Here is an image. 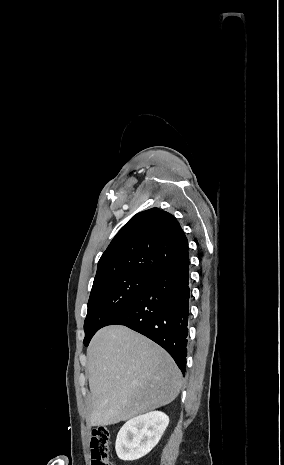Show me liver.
<instances>
[{
    "mask_svg": "<svg viewBox=\"0 0 284 465\" xmlns=\"http://www.w3.org/2000/svg\"><path fill=\"white\" fill-rule=\"evenodd\" d=\"M91 427H106L169 405L182 375L170 355L121 325L104 327L88 349Z\"/></svg>",
    "mask_w": 284,
    "mask_h": 465,
    "instance_id": "6515ba94",
    "label": "liver"
}]
</instances>
